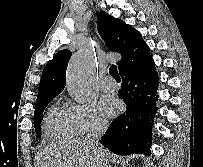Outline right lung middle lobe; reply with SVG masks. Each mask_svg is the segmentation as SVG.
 <instances>
[{"instance_id":"1","label":"right lung middle lobe","mask_w":203,"mask_h":167,"mask_svg":"<svg viewBox=\"0 0 203 167\" xmlns=\"http://www.w3.org/2000/svg\"><path fill=\"white\" fill-rule=\"evenodd\" d=\"M53 98L54 97L42 100L35 105L34 127L38 137L41 136V121L43 119V112Z\"/></svg>"}]
</instances>
